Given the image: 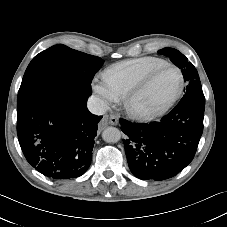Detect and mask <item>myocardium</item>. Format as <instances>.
I'll use <instances>...</instances> for the list:
<instances>
[{"mask_svg":"<svg viewBox=\"0 0 227 227\" xmlns=\"http://www.w3.org/2000/svg\"><path fill=\"white\" fill-rule=\"evenodd\" d=\"M175 69L179 74V86L175 94L160 108L153 111H142L134 108V100L142 94L152 83L155 77L166 69ZM184 89V75L182 70L174 64H166L149 73L141 82L132 88L123 98V105L126 112L133 118L139 120H153L164 115L178 100Z\"/></svg>","mask_w":227,"mask_h":227,"instance_id":"obj_1","label":"myocardium"}]
</instances>
